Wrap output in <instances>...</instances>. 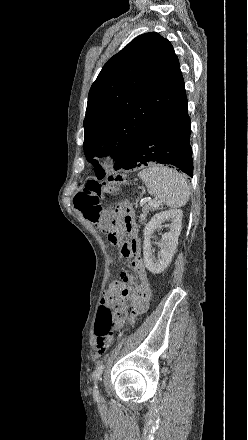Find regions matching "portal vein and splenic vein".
Segmentation results:
<instances>
[{
  "label": "portal vein and splenic vein",
  "instance_id": "1",
  "mask_svg": "<svg viewBox=\"0 0 248 440\" xmlns=\"http://www.w3.org/2000/svg\"><path fill=\"white\" fill-rule=\"evenodd\" d=\"M147 202H148V204L153 205L154 207L158 206V203L153 201V200H151V199H148Z\"/></svg>",
  "mask_w": 248,
  "mask_h": 440
}]
</instances>
